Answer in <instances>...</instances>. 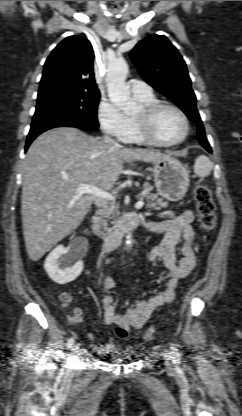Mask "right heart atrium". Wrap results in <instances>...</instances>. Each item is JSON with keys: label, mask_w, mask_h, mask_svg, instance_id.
<instances>
[{"label": "right heart atrium", "mask_w": 242, "mask_h": 416, "mask_svg": "<svg viewBox=\"0 0 242 416\" xmlns=\"http://www.w3.org/2000/svg\"><path fill=\"white\" fill-rule=\"evenodd\" d=\"M97 119L103 132L119 141H125L130 133V120L118 107L102 99L97 108Z\"/></svg>", "instance_id": "right-heart-atrium-1"}]
</instances>
